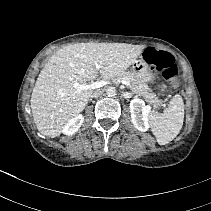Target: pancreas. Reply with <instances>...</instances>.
<instances>
[{
	"label": "pancreas",
	"mask_w": 211,
	"mask_h": 211,
	"mask_svg": "<svg viewBox=\"0 0 211 211\" xmlns=\"http://www.w3.org/2000/svg\"><path fill=\"white\" fill-rule=\"evenodd\" d=\"M116 80H127L130 83L131 91L137 96H142L145 101L155 104L158 106L162 104V100L158 99L155 93L151 92L148 85L135 77L132 72H123L115 77Z\"/></svg>",
	"instance_id": "obj_1"
}]
</instances>
